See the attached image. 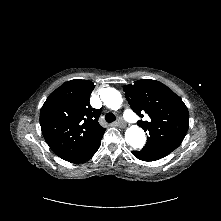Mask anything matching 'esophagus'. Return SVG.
<instances>
[{
  "instance_id": "esophagus-1",
  "label": "esophagus",
  "mask_w": 221,
  "mask_h": 221,
  "mask_svg": "<svg viewBox=\"0 0 221 221\" xmlns=\"http://www.w3.org/2000/svg\"><path fill=\"white\" fill-rule=\"evenodd\" d=\"M117 125H118L119 127H121V128H124V127H125V123H124V121H123L121 118L118 119Z\"/></svg>"
}]
</instances>
